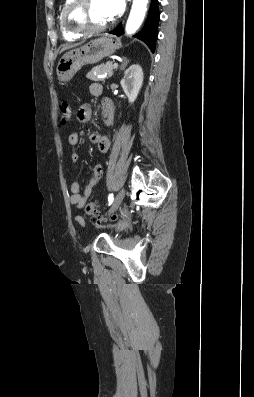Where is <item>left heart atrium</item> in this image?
<instances>
[{
  "mask_svg": "<svg viewBox=\"0 0 254 397\" xmlns=\"http://www.w3.org/2000/svg\"><path fill=\"white\" fill-rule=\"evenodd\" d=\"M106 14L110 18L120 15L125 7V0H101Z\"/></svg>",
  "mask_w": 254,
  "mask_h": 397,
  "instance_id": "39dd6f15",
  "label": "left heart atrium"
}]
</instances>
